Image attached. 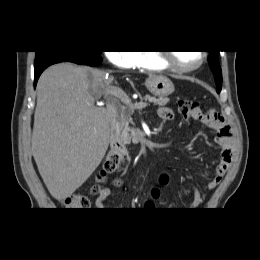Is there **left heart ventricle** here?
<instances>
[{"mask_svg":"<svg viewBox=\"0 0 260 260\" xmlns=\"http://www.w3.org/2000/svg\"><path fill=\"white\" fill-rule=\"evenodd\" d=\"M175 60L182 65H193L200 59L198 51H179L174 53Z\"/></svg>","mask_w":260,"mask_h":260,"instance_id":"b2bd125f","label":"left heart ventricle"}]
</instances>
